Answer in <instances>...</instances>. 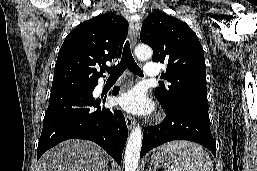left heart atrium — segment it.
<instances>
[{
    "label": "left heart atrium",
    "instance_id": "left-heart-atrium-1",
    "mask_svg": "<svg viewBox=\"0 0 257 171\" xmlns=\"http://www.w3.org/2000/svg\"><path fill=\"white\" fill-rule=\"evenodd\" d=\"M117 104L133 114H148L153 109L152 103L140 87H134L121 94L117 99Z\"/></svg>",
    "mask_w": 257,
    "mask_h": 171
}]
</instances>
